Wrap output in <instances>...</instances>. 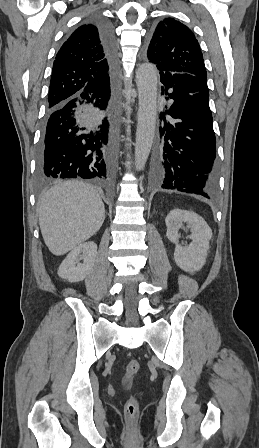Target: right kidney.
<instances>
[{
    "label": "right kidney",
    "mask_w": 259,
    "mask_h": 448,
    "mask_svg": "<svg viewBox=\"0 0 259 448\" xmlns=\"http://www.w3.org/2000/svg\"><path fill=\"white\" fill-rule=\"evenodd\" d=\"M97 244L84 242L74 248L62 262L58 276L68 282H82L90 274L96 260ZM83 260V264H80Z\"/></svg>",
    "instance_id": "ca27d5eb"
}]
</instances>
